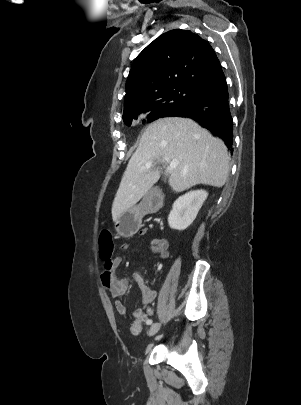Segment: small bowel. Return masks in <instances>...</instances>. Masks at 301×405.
Wrapping results in <instances>:
<instances>
[{
    "label": "small bowel",
    "instance_id": "small-bowel-1",
    "mask_svg": "<svg viewBox=\"0 0 301 405\" xmlns=\"http://www.w3.org/2000/svg\"><path fill=\"white\" fill-rule=\"evenodd\" d=\"M148 232L147 228H142L139 231L140 235H145ZM128 244H123L122 249H128ZM150 248L153 253L158 255L160 259H167L169 256L168 243L163 238H153L150 242ZM122 259L119 256L112 258L110 265H106L104 270L101 273V282L103 286L110 292V294L116 298L115 307L117 312L122 315H127V307L121 301L128 289H129V280L126 277H119L115 274V269L121 264ZM134 280L137 282L143 297V303L146 306H149L153 303L156 298V291L150 288L144 281L143 277L139 273L133 275ZM149 320V319H148ZM146 320V324L147 321ZM139 330V329H138ZM135 330L134 331H138Z\"/></svg>",
    "mask_w": 301,
    "mask_h": 405
}]
</instances>
